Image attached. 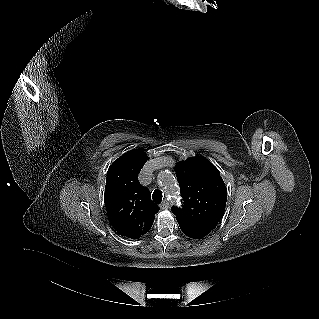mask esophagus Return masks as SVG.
Returning a JSON list of instances; mask_svg holds the SVG:
<instances>
[{
    "instance_id": "esophagus-1",
    "label": "esophagus",
    "mask_w": 319,
    "mask_h": 319,
    "mask_svg": "<svg viewBox=\"0 0 319 319\" xmlns=\"http://www.w3.org/2000/svg\"><path fill=\"white\" fill-rule=\"evenodd\" d=\"M169 208V202L168 200L164 199L162 203L160 204V209L161 210H167Z\"/></svg>"
}]
</instances>
